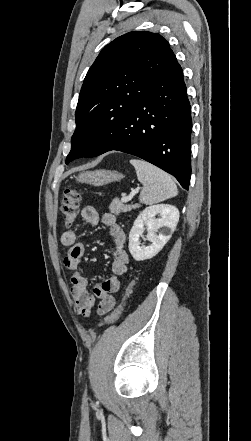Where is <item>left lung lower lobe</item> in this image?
I'll list each match as a JSON object with an SVG mask.
<instances>
[{"mask_svg": "<svg viewBox=\"0 0 251 441\" xmlns=\"http://www.w3.org/2000/svg\"><path fill=\"white\" fill-rule=\"evenodd\" d=\"M191 131L190 102L174 55L151 82L147 95L121 121L93 131L89 157L111 150L132 154L170 173L188 189Z\"/></svg>", "mask_w": 251, "mask_h": 441, "instance_id": "left-lung-lower-lobe-1", "label": "left lung lower lobe"}]
</instances>
